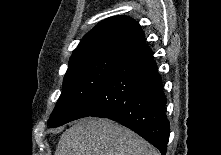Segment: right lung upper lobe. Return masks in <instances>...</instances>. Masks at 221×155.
Wrapping results in <instances>:
<instances>
[{
    "label": "right lung upper lobe",
    "instance_id": "obj_1",
    "mask_svg": "<svg viewBox=\"0 0 221 155\" xmlns=\"http://www.w3.org/2000/svg\"><path fill=\"white\" fill-rule=\"evenodd\" d=\"M144 37L135 20L125 16L108 18L84 36L73 51L69 64L101 54L126 56L144 42Z\"/></svg>",
    "mask_w": 221,
    "mask_h": 155
}]
</instances>
